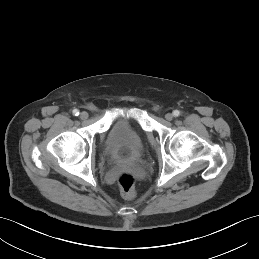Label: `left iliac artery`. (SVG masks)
Instances as JSON below:
<instances>
[{
  "mask_svg": "<svg viewBox=\"0 0 259 259\" xmlns=\"http://www.w3.org/2000/svg\"><path fill=\"white\" fill-rule=\"evenodd\" d=\"M173 115H174L175 117L179 116V115H180V111H179V110H174V111H173Z\"/></svg>",
  "mask_w": 259,
  "mask_h": 259,
  "instance_id": "left-iliac-artery-1",
  "label": "left iliac artery"
}]
</instances>
